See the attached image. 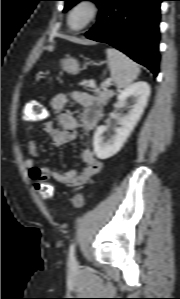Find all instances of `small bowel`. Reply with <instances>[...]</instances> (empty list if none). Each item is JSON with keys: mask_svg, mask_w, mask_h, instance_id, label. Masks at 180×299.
<instances>
[{"mask_svg": "<svg viewBox=\"0 0 180 299\" xmlns=\"http://www.w3.org/2000/svg\"><path fill=\"white\" fill-rule=\"evenodd\" d=\"M71 97L85 107L80 122L70 113L65 112L64 108L68 96L61 93L54 96L50 103L59 127H56L53 121H45L42 124L43 130L50 136L52 145L55 147L72 142L76 138L80 127L87 131L94 130L101 118V105L92 95L84 92H73ZM33 127V123L29 124L28 130ZM28 153L31 157H36L39 154L38 144L33 139L28 143ZM80 156L84 163V168L80 172L68 170L62 173L50 168L39 167L31 159L27 160L25 165L30 178L35 181L41 182L53 179L66 187H80L87 184L102 169V162L95 156L91 147L83 148Z\"/></svg>", "mask_w": 180, "mask_h": 299, "instance_id": "small-bowel-1", "label": "small bowel"}]
</instances>
